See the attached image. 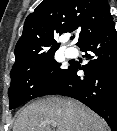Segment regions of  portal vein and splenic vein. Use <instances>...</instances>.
<instances>
[{"label": "portal vein and splenic vein", "mask_w": 117, "mask_h": 131, "mask_svg": "<svg viewBox=\"0 0 117 131\" xmlns=\"http://www.w3.org/2000/svg\"><path fill=\"white\" fill-rule=\"evenodd\" d=\"M45 123H49V124H52L53 126H55V124L50 121H46Z\"/></svg>", "instance_id": "18ae733b"}]
</instances>
